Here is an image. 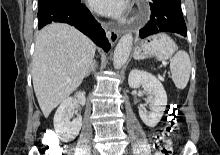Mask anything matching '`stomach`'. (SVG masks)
Here are the masks:
<instances>
[{
	"mask_svg": "<svg viewBox=\"0 0 220 155\" xmlns=\"http://www.w3.org/2000/svg\"><path fill=\"white\" fill-rule=\"evenodd\" d=\"M176 49L177 45L167 34L159 33L141 42L136 48L135 58L156 57L158 60H167Z\"/></svg>",
	"mask_w": 220,
	"mask_h": 155,
	"instance_id": "1",
	"label": "stomach"
}]
</instances>
